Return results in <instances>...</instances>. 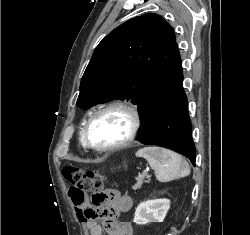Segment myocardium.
<instances>
[{
  "label": "myocardium",
  "instance_id": "1",
  "mask_svg": "<svg viewBox=\"0 0 250 235\" xmlns=\"http://www.w3.org/2000/svg\"><path fill=\"white\" fill-rule=\"evenodd\" d=\"M110 111H121L127 115L129 119L128 132L122 140H120L119 142L115 144L104 146V147L96 146L92 144L89 139V127L97 116L106 112H110ZM140 127H141V114L135 104L128 102V101H122V100L112 101L96 109L87 118L83 127V131H82L83 144L88 149L96 151V152H100V153L116 151V150H119L121 148H124L130 145L137 137Z\"/></svg>",
  "mask_w": 250,
  "mask_h": 235
}]
</instances>
